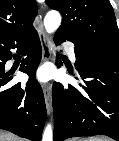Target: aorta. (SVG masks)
Instances as JSON below:
<instances>
[{
    "instance_id": "aorta-1",
    "label": "aorta",
    "mask_w": 119,
    "mask_h": 141,
    "mask_svg": "<svg viewBox=\"0 0 119 141\" xmlns=\"http://www.w3.org/2000/svg\"><path fill=\"white\" fill-rule=\"evenodd\" d=\"M61 24V16L57 11H50L44 18V26L47 33H53ZM42 141H53V132L51 125H47L44 130Z\"/></svg>"
}]
</instances>
